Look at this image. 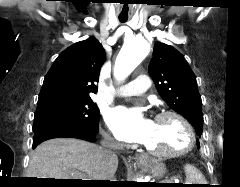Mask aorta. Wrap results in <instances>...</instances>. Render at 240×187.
<instances>
[{"instance_id":"762f6f07","label":"aorta","mask_w":240,"mask_h":187,"mask_svg":"<svg viewBox=\"0 0 240 187\" xmlns=\"http://www.w3.org/2000/svg\"><path fill=\"white\" fill-rule=\"evenodd\" d=\"M149 48V43L140 37H135L125 43L115 62V78L117 80H123L129 76L137 65L146 57Z\"/></svg>"}]
</instances>
